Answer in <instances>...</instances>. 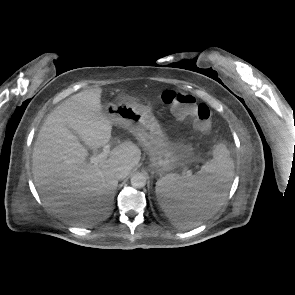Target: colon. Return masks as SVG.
<instances>
[{
	"instance_id": "5ec220e1",
	"label": "colon",
	"mask_w": 295,
	"mask_h": 295,
	"mask_svg": "<svg viewBox=\"0 0 295 295\" xmlns=\"http://www.w3.org/2000/svg\"><path fill=\"white\" fill-rule=\"evenodd\" d=\"M161 100L171 107L177 118L192 122L200 132L207 134L212 130L210 109L205 104L197 103L194 96L167 89L161 94Z\"/></svg>"
}]
</instances>
